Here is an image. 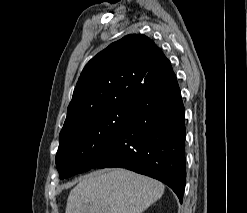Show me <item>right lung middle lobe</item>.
I'll list each match as a JSON object with an SVG mask.
<instances>
[{"mask_svg": "<svg viewBox=\"0 0 247 213\" xmlns=\"http://www.w3.org/2000/svg\"><path fill=\"white\" fill-rule=\"evenodd\" d=\"M132 110L130 100L121 101L60 135L56 167L60 179L93 168L123 126Z\"/></svg>", "mask_w": 247, "mask_h": 213, "instance_id": "1", "label": "right lung middle lobe"}]
</instances>
